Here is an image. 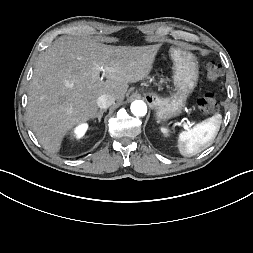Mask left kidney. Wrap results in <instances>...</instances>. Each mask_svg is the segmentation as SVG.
Listing matches in <instances>:
<instances>
[{
    "mask_svg": "<svg viewBox=\"0 0 253 253\" xmlns=\"http://www.w3.org/2000/svg\"><path fill=\"white\" fill-rule=\"evenodd\" d=\"M161 131H162L165 135L168 134V130H167L166 128H161Z\"/></svg>",
    "mask_w": 253,
    "mask_h": 253,
    "instance_id": "left-kidney-1",
    "label": "left kidney"
}]
</instances>
